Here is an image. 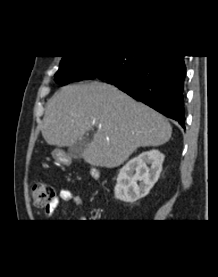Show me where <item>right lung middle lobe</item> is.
Here are the masks:
<instances>
[{"label":"right lung middle lobe","mask_w":218,"mask_h":277,"mask_svg":"<svg viewBox=\"0 0 218 277\" xmlns=\"http://www.w3.org/2000/svg\"><path fill=\"white\" fill-rule=\"evenodd\" d=\"M149 56H63L55 79L61 85L79 81L86 74L102 76L108 82H125Z\"/></svg>","instance_id":"1"}]
</instances>
